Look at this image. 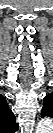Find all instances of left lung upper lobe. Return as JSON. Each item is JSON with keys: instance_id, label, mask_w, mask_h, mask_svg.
<instances>
[{"instance_id": "obj_1", "label": "left lung upper lobe", "mask_w": 53, "mask_h": 133, "mask_svg": "<svg viewBox=\"0 0 53 133\" xmlns=\"http://www.w3.org/2000/svg\"><path fill=\"white\" fill-rule=\"evenodd\" d=\"M41 116H50L53 117V96L48 95L44 98V106L41 111Z\"/></svg>"}]
</instances>
